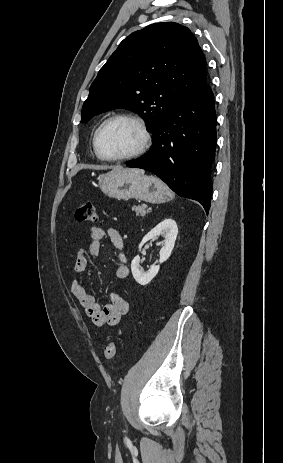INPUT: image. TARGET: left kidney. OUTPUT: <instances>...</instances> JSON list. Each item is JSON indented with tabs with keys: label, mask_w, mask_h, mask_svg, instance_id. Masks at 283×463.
<instances>
[{
	"label": "left kidney",
	"mask_w": 283,
	"mask_h": 463,
	"mask_svg": "<svg viewBox=\"0 0 283 463\" xmlns=\"http://www.w3.org/2000/svg\"><path fill=\"white\" fill-rule=\"evenodd\" d=\"M178 234V227L173 219H165L148 232L139 244V251L142 246L149 240L158 236L164 237L163 246L159 252V263L165 262L171 255ZM160 265H153L147 272L140 267V256L134 257L131 263V271L134 279L141 285L148 284L159 272Z\"/></svg>",
	"instance_id": "obj_1"
}]
</instances>
